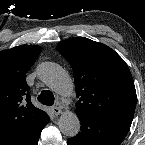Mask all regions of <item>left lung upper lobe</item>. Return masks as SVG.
<instances>
[{"mask_svg": "<svg viewBox=\"0 0 145 145\" xmlns=\"http://www.w3.org/2000/svg\"><path fill=\"white\" fill-rule=\"evenodd\" d=\"M57 50L74 72L77 115L133 119L137 101L134 81L114 50L84 37L61 41Z\"/></svg>", "mask_w": 145, "mask_h": 145, "instance_id": "obj_1", "label": "left lung upper lobe"}]
</instances>
